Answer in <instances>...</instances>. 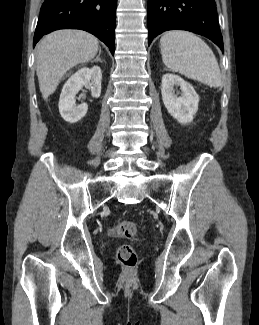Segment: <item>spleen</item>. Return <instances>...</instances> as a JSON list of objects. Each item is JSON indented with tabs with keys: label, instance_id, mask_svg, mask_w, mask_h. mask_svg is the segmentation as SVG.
Returning <instances> with one entry per match:
<instances>
[{
	"label": "spleen",
	"instance_id": "3e777b00",
	"mask_svg": "<svg viewBox=\"0 0 259 325\" xmlns=\"http://www.w3.org/2000/svg\"><path fill=\"white\" fill-rule=\"evenodd\" d=\"M163 63L172 71L210 87L222 84L221 72L211 48L187 31H168L160 39Z\"/></svg>",
	"mask_w": 259,
	"mask_h": 325
}]
</instances>
